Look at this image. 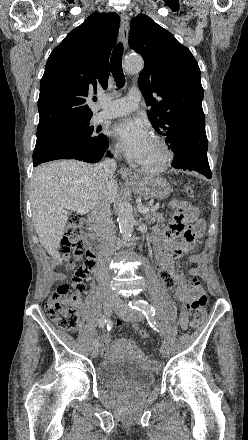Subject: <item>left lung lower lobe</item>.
I'll return each instance as SVG.
<instances>
[{
    "mask_svg": "<svg viewBox=\"0 0 248 440\" xmlns=\"http://www.w3.org/2000/svg\"><path fill=\"white\" fill-rule=\"evenodd\" d=\"M172 166L184 171H197L205 175L208 179L212 176L207 159V152L204 150H179L175 153Z\"/></svg>",
    "mask_w": 248,
    "mask_h": 440,
    "instance_id": "0a47b994",
    "label": "left lung lower lobe"
}]
</instances>
